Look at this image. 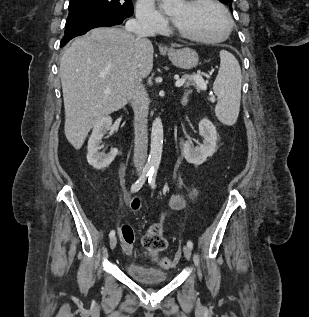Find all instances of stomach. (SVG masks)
Instances as JSON below:
<instances>
[{
    "label": "stomach",
    "instance_id": "0dacf381",
    "mask_svg": "<svg viewBox=\"0 0 309 317\" xmlns=\"http://www.w3.org/2000/svg\"><path fill=\"white\" fill-rule=\"evenodd\" d=\"M168 57L176 67L186 70L196 67L199 62L198 54L191 48H171Z\"/></svg>",
    "mask_w": 309,
    "mask_h": 317
}]
</instances>
